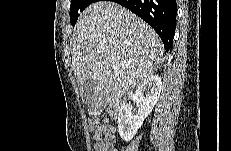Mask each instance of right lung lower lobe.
Segmentation results:
<instances>
[{"instance_id":"right-lung-lower-lobe-1","label":"right lung lower lobe","mask_w":231,"mask_h":151,"mask_svg":"<svg viewBox=\"0 0 231 151\" xmlns=\"http://www.w3.org/2000/svg\"><path fill=\"white\" fill-rule=\"evenodd\" d=\"M114 2L146 21L157 32L166 51L172 47L176 27V0H114Z\"/></svg>"}]
</instances>
